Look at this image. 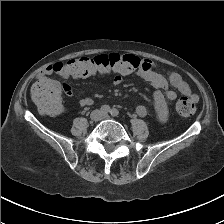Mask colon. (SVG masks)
Segmentation results:
<instances>
[{
    "instance_id": "1",
    "label": "colon",
    "mask_w": 224,
    "mask_h": 224,
    "mask_svg": "<svg viewBox=\"0 0 224 224\" xmlns=\"http://www.w3.org/2000/svg\"><path fill=\"white\" fill-rule=\"evenodd\" d=\"M141 60L130 54H100L94 57H79L65 63L72 78H87L95 75L124 74L136 70ZM32 99L38 110L46 115H58L62 111L61 95L58 88L47 82H36L31 90ZM176 111L181 117H190L196 111L194 101L181 97L176 103Z\"/></svg>"
}]
</instances>
